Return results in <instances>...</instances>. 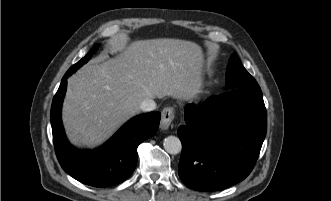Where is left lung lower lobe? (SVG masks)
<instances>
[{"label": "left lung lower lobe", "instance_id": "obj_1", "mask_svg": "<svg viewBox=\"0 0 331 201\" xmlns=\"http://www.w3.org/2000/svg\"><path fill=\"white\" fill-rule=\"evenodd\" d=\"M178 174L189 188L221 190L244 180L259 156L267 129L260 87L232 89L203 106L188 104Z\"/></svg>", "mask_w": 331, "mask_h": 201}]
</instances>
